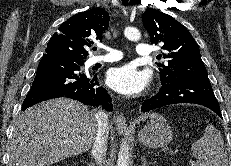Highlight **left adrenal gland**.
<instances>
[{
    "instance_id": "a2214340",
    "label": "left adrenal gland",
    "mask_w": 231,
    "mask_h": 166,
    "mask_svg": "<svg viewBox=\"0 0 231 166\" xmlns=\"http://www.w3.org/2000/svg\"><path fill=\"white\" fill-rule=\"evenodd\" d=\"M141 160H142V166H148L149 164H151V162L147 161L144 155L141 157Z\"/></svg>"
}]
</instances>
